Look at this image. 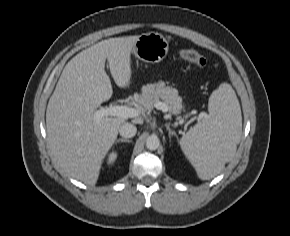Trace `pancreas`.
Instances as JSON below:
<instances>
[{
    "instance_id": "pancreas-1",
    "label": "pancreas",
    "mask_w": 290,
    "mask_h": 236,
    "mask_svg": "<svg viewBox=\"0 0 290 236\" xmlns=\"http://www.w3.org/2000/svg\"><path fill=\"white\" fill-rule=\"evenodd\" d=\"M141 91L136 103L142 112L152 110L160 99L168 106L171 114H178L183 108L182 98L178 96V91L166 86L164 82L144 85Z\"/></svg>"
}]
</instances>
